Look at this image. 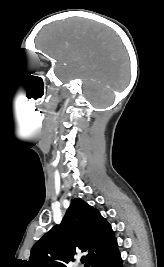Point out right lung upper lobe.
<instances>
[{
	"instance_id": "1",
	"label": "right lung upper lobe",
	"mask_w": 164,
	"mask_h": 267,
	"mask_svg": "<svg viewBox=\"0 0 164 267\" xmlns=\"http://www.w3.org/2000/svg\"><path fill=\"white\" fill-rule=\"evenodd\" d=\"M70 246L71 250H67ZM110 224L97 209L74 198L60 225H55L31 250L29 267H66L77 251L87 252L86 267L115 248Z\"/></svg>"
}]
</instances>
